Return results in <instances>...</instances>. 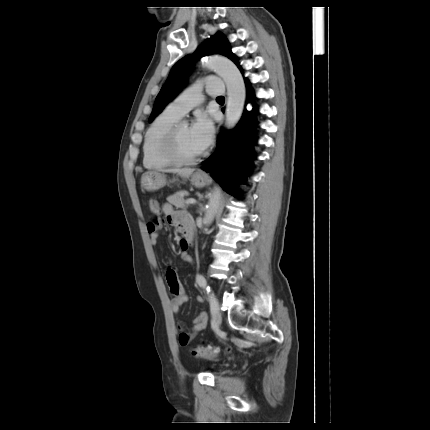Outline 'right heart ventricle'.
Wrapping results in <instances>:
<instances>
[{
  "label": "right heart ventricle",
  "instance_id": "obj_1",
  "mask_svg": "<svg viewBox=\"0 0 430 430\" xmlns=\"http://www.w3.org/2000/svg\"><path fill=\"white\" fill-rule=\"evenodd\" d=\"M179 119L178 115L166 109L147 128L142 145V162L146 169H164L173 165L163 156L161 144Z\"/></svg>",
  "mask_w": 430,
  "mask_h": 430
}]
</instances>
